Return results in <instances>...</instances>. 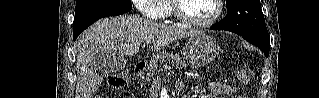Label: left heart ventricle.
I'll list each match as a JSON object with an SVG mask.
<instances>
[{
	"mask_svg": "<svg viewBox=\"0 0 319 98\" xmlns=\"http://www.w3.org/2000/svg\"><path fill=\"white\" fill-rule=\"evenodd\" d=\"M180 9L183 15L193 20H207L216 11L214 0H182Z\"/></svg>",
	"mask_w": 319,
	"mask_h": 98,
	"instance_id": "1",
	"label": "left heart ventricle"
}]
</instances>
